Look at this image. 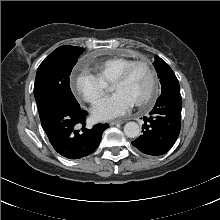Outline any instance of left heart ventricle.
Returning <instances> with one entry per match:
<instances>
[{
    "instance_id": "obj_1",
    "label": "left heart ventricle",
    "mask_w": 220,
    "mask_h": 220,
    "mask_svg": "<svg viewBox=\"0 0 220 220\" xmlns=\"http://www.w3.org/2000/svg\"><path fill=\"white\" fill-rule=\"evenodd\" d=\"M149 88L150 77L147 70L143 67L135 69L127 81L114 84L113 86L115 92L127 94L134 103L142 100L147 95Z\"/></svg>"
}]
</instances>
